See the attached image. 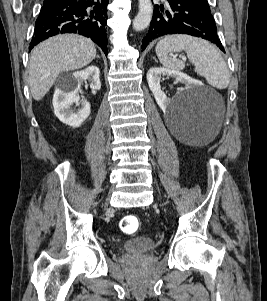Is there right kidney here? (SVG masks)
<instances>
[{
  "mask_svg": "<svg viewBox=\"0 0 267 301\" xmlns=\"http://www.w3.org/2000/svg\"><path fill=\"white\" fill-rule=\"evenodd\" d=\"M88 80L92 91H97L101 88L100 70L96 66H89L82 71H77L72 74L70 81L60 85L55 90L53 96L54 113L57 118L66 125L79 127L90 115L91 106L87 101H82V107L77 111L71 109V105L76 103L79 105L81 83Z\"/></svg>",
  "mask_w": 267,
  "mask_h": 301,
  "instance_id": "obj_1",
  "label": "right kidney"
}]
</instances>
